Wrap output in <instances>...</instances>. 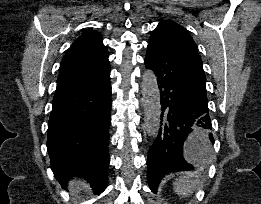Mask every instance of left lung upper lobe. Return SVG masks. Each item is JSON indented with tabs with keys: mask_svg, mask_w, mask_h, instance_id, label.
Masks as SVG:
<instances>
[{
	"mask_svg": "<svg viewBox=\"0 0 261 204\" xmlns=\"http://www.w3.org/2000/svg\"><path fill=\"white\" fill-rule=\"evenodd\" d=\"M151 36L175 38L177 42L184 44L195 55H197L198 58H200L198 55L197 46L193 41L192 37L190 36V34L187 32V30L184 27H182L181 25L173 21H169V20L161 21L158 24L157 28L152 32Z\"/></svg>",
	"mask_w": 261,
	"mask_h": 204,
	"instance_id": "left-lung-upper-lobe-1",
	"label": "left lung upper lobe"
}]
</instances>
